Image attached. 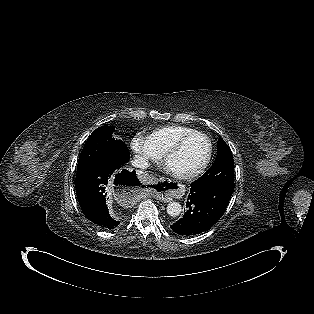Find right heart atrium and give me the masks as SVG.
Instances as JSON below:
<instances>
[{
  "instance_id": "d8ad5b80",
  "label": "right heart atrium",
  "mask_w": 314,
  "mask_h": 314,
  "mask_svg": "<svg viewBox=\"0 0 314 314\" xmlns=\"http://www.w3.org/2000/svg\"><path fill=\"white\" fill-rule=\"evenodd\" d=\"M130 148L144 162H156L161 158V155L151 149L146 137L140 134L132 138Z\"/></svg>"
}]
</instances>
